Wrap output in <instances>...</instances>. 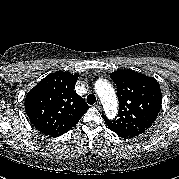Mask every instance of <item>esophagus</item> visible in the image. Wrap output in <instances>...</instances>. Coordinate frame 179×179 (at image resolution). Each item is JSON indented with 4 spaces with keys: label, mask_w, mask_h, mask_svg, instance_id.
Returning a JSON list of instances; mask_svg holds the SVG:
<instances>
[{
    "label": "esophagus",
    "mask_w": 179,
    "mask_h": 179,
    "mask_svg": "<svg viewBox=\"0 0 179 179\" xmlns=\"http://www.w3.org/2000/svg\"><path fill=\"white\" fill-rule=\"evenodd\" d=\"M95 106L98 108V109H101L102 108V104L100 101H97Z\"/></svg>",
    "instance_id": "1"
}]
</instances>
